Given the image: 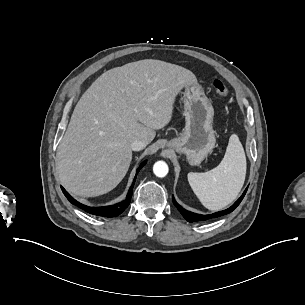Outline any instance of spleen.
I'll return each instance as SVG.
<instances>
[{"instance_id": "obj_1", "label": "spleen", "mask_w": 305, "mask_h": 305, "mask_svg": "<svg viewBox=\"0 0 305 305\" xmlns=\"http://www.w3.org/2000/svg\"><path fill=\"white\" fill-rule=\"evenodd\" d=\"M246 176V156L236 134H232L220 164L205 173H188V182L201 203L218 211L240 193Z\"/></svg>"}]
</instances>
